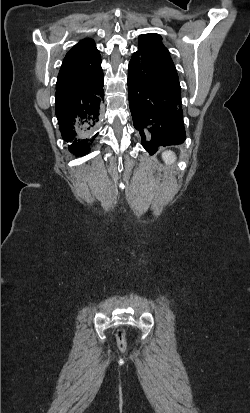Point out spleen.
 <instances>
[{
	"instance_id": "obj_1",
	"label": "spleen",
	"mask_w": 250,
	"mask_h": 413,
	"mask_svg": "<svg viewBox=\"0 0 250 413\" xmlns=\"http://www.w3.org/2000/svg\"><path fill=\"white\" fill-rule=\"evenodd\" d=\"M162 158L167 165H173L176 161V155L173 151L167 150L162 153Z\"/></svg>"
}]
</instances>
